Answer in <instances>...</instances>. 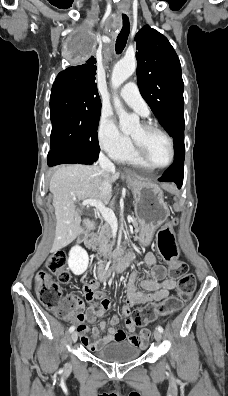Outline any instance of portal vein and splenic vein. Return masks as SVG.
Instances as JSON below:
<instances>
[{"label": "portal vein and splenic vein", "instance_id": "18ae733b", "mask_svg": "<svg viewBox=\"0 0 228 396\" xmlns=\"http://www.w3.org/2000/svg\"><path fill=\"white\" fill-rule=\"evenodd\" d=\"M81 206L82 207H84V206L96 207L99 210V212L101 213L102 217L110 224V226H117L116 216L110 209L106 208L101 201L88 199V200H84L81 203Z\"/></svg>", "mask_w": 228, "mask_h": 396}]
</instances>
